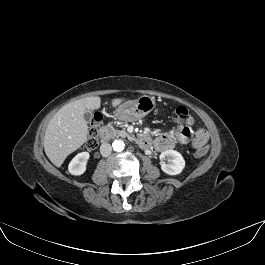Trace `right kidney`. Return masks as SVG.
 I'll return each instance as SVG.
<instances>
[{
    "instance_id": "ca27d5eb",
    "label": "right kidney",
    "mask_w": 265,
    "mask_h": 265,
    "mask_svg": "<svg viewBox=\"0 0 265 265\" xmlns=\"http://www.w3.org/2000/svg\"><path fill=\"white\" fill-rule=\"evenodd\" d=\"M90 154L88 152H81L77 154L69 163L68 170L72 175H82L86 171V166Z\"/></svg>"
}]
</instances>
